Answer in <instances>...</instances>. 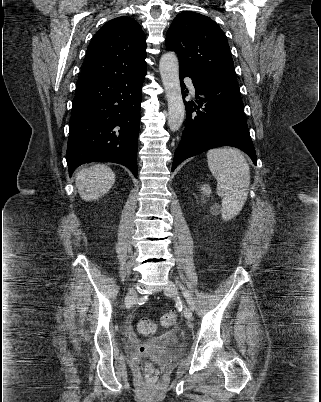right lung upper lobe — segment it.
I'll list each match as a JSON object with an SVG mask.
<instances>
[{
    "label": "right lung upper lobe",
    "mask_w": 321,
    "mask_h": 402,
    "mask_svg": "<svg viewBox=\"0 0 321 402\" xmlns=\"http://www.w3.org/2000/svg\"><path fill=\"white\" fill-rule=\"evenodd\" d=\"M146 37L137 21L118 17L103 25L92 38L78 82L146 71Z\"/></svg>",
    "instance_id": "obj_1"
}]
</instances>
